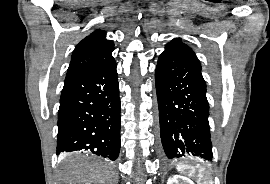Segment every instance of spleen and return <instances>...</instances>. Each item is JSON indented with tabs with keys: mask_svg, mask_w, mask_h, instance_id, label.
<instances>
[{
	"mask_svg": "<svg viewBox=\"0 0 270 184\" xmlns=\"http://www.w3.org/2000/svg\"><path fill=\"white\" fill-rule=\"evenodd\" d=\"M185 169H187V167L183 166V168L179 169L178 171L183 173L185 171ZM197 169H198V174L196 176ZM188 176L189 177H197L198 184H212V180H211L209 174L206 172V169L202 166H196V167L192 168L189 171Z\"/></svg>",
	"mask_w": 270,
	"mask_h": 184,
	"instance_id": "1",
	"label": "spleen"
}]
</instances>
